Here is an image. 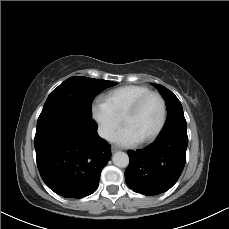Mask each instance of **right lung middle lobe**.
I'll list each match as a JSON object with an SVG mask.
<instances>
[{
    "mask_svg": "<svg viewBox=\"0 0 229 229\" xmlns=\"http://www.w3.org/2000/svg\"><path fill=\"white\" fill-rule=\"evenodd\" d=\"M116 84L102 79L70 77L50 93L40 115L67 111L91 117V103L95 96Z\"/></svg>",
    "mask_w": 229,
    "mask_h": 229,
    "instance_id": "obj_1",
    "label": "right lung middle lobe"
}]
</instances>
